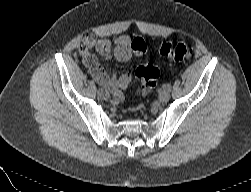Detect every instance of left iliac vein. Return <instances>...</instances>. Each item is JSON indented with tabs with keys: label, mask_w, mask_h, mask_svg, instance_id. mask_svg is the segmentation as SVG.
<instances>
[{
	"label": "left iliac vein",
	"mask_w": 251,
	"mask_h": 192,
	"mask_svg": "<svg viewBox=\"0 0 251 192\" xmlns=\"http://www.w3.org/2000/svg\"><path fill=\"white\" fill-rule=\"evenodd\" d=\"M170 99V93L168 90L163 89L159 94L160 102H167Z\"/></svg>",
	"instance_id": "1"
}]
</instances>
